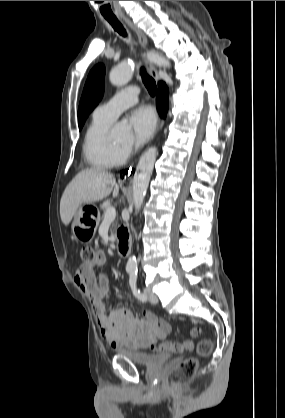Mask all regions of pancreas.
Returning <instances> with one entry per match:
<instances>
[{"mask_svg":"<svg viewBox=\"0 0 285 418\" xmlns=\"http://www.w3.org/2000/svg\"><path fill=\"white\" fill-rule=\"evenodd\" d=\"M109 207H110V205H109V204H105V205H103V206H102L103 216L105 215V213H106V211H107V209H108ZM116 228H117V225H112V227H111V233H112V234H114V232H115Z\"/></svg>","mask_w":285,"mask_h":418,"instance_id":"1","label":"pancreas"}]
</instances>
